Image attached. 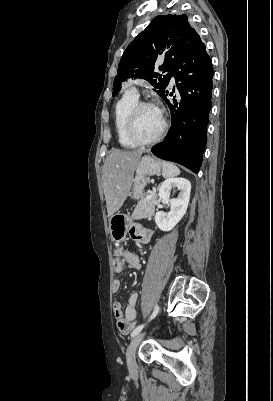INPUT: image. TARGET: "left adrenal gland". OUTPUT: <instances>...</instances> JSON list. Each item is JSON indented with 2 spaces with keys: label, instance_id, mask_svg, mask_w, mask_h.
Returning a JSON list of instances; mask_svg holds the SVG:
<instances>
[{
  "label": "left adrenal gland",
  "instance_id": "1",
  "mask_svg": "<svg viewBox=\"0 0 273 401\" xmlns=\"http://www.w3.org/2000/svg\"><path fill=\"white\" fill-rule=\"evenodd\" d=\"M160 184H158L157 188H159Z\"/></svg>",
  "mask_w": 273,
  "mask_h": 401
}]
</instances>
